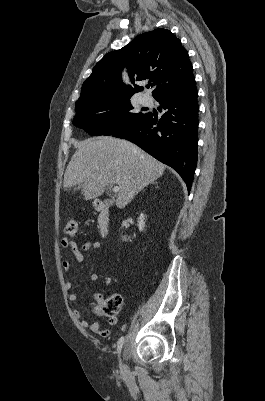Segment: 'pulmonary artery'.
Wrapping results in <instances>:
<instances>
[{
    "instance_id": "1",
    "label": "pulmonary artery",
    "mask_w": 265,
    "mask_h": 401,
    "mask_svg": "<svg viewBox=\"0 0 265 401\" xmlns=\"http://www.w3.org/2000/svg\"><path fill=\"white\" fill-rule=\"evenodd\" d=\"M141 100L143 102H149L151 99H150V97H144V98H141Z\"/></svg>"
}]
</instances>
